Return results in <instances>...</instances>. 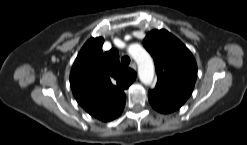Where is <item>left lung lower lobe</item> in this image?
Returning <instances> with one entry per match:
<instances>
[{"label":"left lung lower lobe","mask_w":247,"mask_h":145,"mask_svg":"<svg viewBox=\"0 0 247 145\" xmlns=\"http://www.w3.org/2000/svg\"><path fill=\"white\" fill-rule=\"evenodd\" d=\"M148 99L155 110L164 114L179 109L187 100L157 88L149 90Z\"/></svg>","instance_id":"obj_1"}]
</instances>
